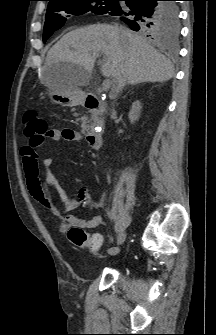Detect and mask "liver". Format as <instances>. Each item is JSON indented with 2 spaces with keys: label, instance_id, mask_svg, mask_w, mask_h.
Masks as SVG:
<instances>
[{
  "label": "liver",
  "instance_id": "liver-1",
  "mask_svg": "<svg viewBox=\"0 0 216 335\" xmlns=\"http://www.w3.org/2000/svg\"><path fill=\"white\" fill-rule=\"evenodd\" d=\"M122 30V31H121ZM103 54L101 71L113 79L112 92L119 84L165 82L174 76L173 64L145 39L109 24H94L66 33L47 53L44 71L64 69L75 89L88 85L96 58Z\"/></svg>",
  "mask_w": 216,
  "mask_h": 335
}]
</instances>
